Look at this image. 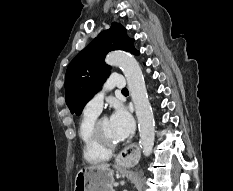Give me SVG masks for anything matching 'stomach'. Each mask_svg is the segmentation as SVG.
I'll use <instances>...</instances> for the list:
<instances>
[{"label": "stomach", "instance_id": "1", "mask_svg": "<svg viewBox=\"0 0 233 191\" xmlns=\"http://www.w3.org/2000/svg\"><path fill=\"white\" fill-rule=\"evenodd\" d=\"M113 182V170L85 167L76 174L74 191H111Z\"/></svg>", "mask_w": 233, "mask_h": 191}]
</instances>
